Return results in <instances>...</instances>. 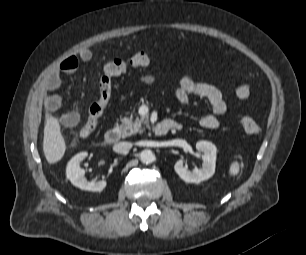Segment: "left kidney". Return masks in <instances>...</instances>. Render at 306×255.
Here are the masks:
<instances>
[{"label":"left kidney","instance_id":"5707ae66","mask_svg":"<svg viewBox=\"0 0 306 255\" xmlns=\"http://www.w3.org/2000/svg\"><path fill=\"white\" fill-rule=\"evenodd\" d=\"M196 149L202 152V166L200 169L194 168L192 171L184 166L182 160H178L174 165L175 172L187 183H200L208 180L215 173L216 147L208 141H199L196 143Z\"/></svg>","mask_w":306,"mask_h":255}]
</instances>
